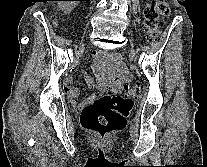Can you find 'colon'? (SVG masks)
<instances>
[{
    "label": "colon",
    "mask_w": 207,
    "mask_h": 167,
    "mask_svg": "<svg viewBox=\"0 0 207 167\" xmlns=\"http://www.w3.org/2000/svg\"><path fill=\"white\" fill-rule=\"evenodd\" d=\"M170 5L167 0H153L144 10L145 24L152 40L160 36L161 19L169 16ZM117 60L118 55H114ZM141 93V87L126 83L124 93H108L102 95L84 108L81 124L84 129L101 138L122 129L129 116L134 99Z\"/></svg>",
    "instance_id": "colon-1"
}]
</instances>
